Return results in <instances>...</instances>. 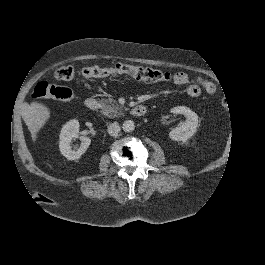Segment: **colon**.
Segmentation results:
<instances>
[{
    "mask_svg": "<svg viewBox=\"0 0 265 265\" xmlns=\"http://www.w3.org/2000/svg\"><path fill=\"white\" fill-rule=\"evenodd\" d=\"M116 74L129 75L145 82H164L170 78L169 73L159 69L123 63L112 67L89 66L83 69V75L90 78L107 77ZM55 78L61 81H71L75 78V71L70 66H62L56 70ZM33 97L37 99L70 101L74 98V93L67 87L40 82L33 90Z\"/></svg>",
    "mask_w": 265,
    "mask_h": 265,
    "instance_id": "1",
    "label": "colon"
}]
</instances>
